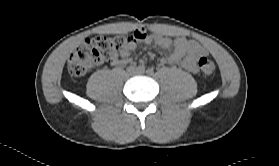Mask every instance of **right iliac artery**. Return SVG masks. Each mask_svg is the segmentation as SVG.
<instances>
[{"label": "right iliac artery", "mask_w": 279, "mask_h": 166, "mask_svg": "<svg viewBox=\"0 0 279 166\" xmlns=\"http://www.w3.org/2000/svg\"><path fill=\"white\" fill-rule=\"evenodd\" d=\"M137 71L143 73V72L145 71V66H144L143 64L139 65V66L137 67Z\"/></svg>", "instance_id": "82829eb1"}]
</instances>
